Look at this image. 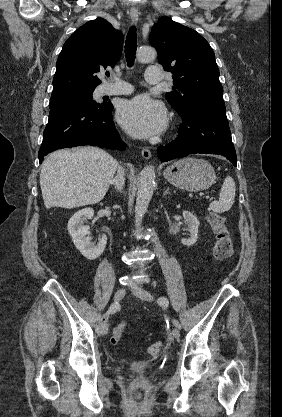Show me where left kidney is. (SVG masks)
I'll return each mask as SVG.
<instances>
[{
    "instance_id": "left-kidney-1",
    "label": "left kidney",
    "mask_w": 282,
    "mask_h": 417,
    "mask_svg": "<svg viewBox=\"0 0 282 417\" xmlns=\"http://www.w3.org/2000/svg\"><path fill=\"white\" fill-rule=\"evenodd\" d=\"M185 223L187 225V229L190 233L189 239H181L182 245H186V247H192L194 243H196L198 239V227L200 225L197 217H194L192 213H189V211H183L182 213Z\"/></svg>"
}]
</instances>
